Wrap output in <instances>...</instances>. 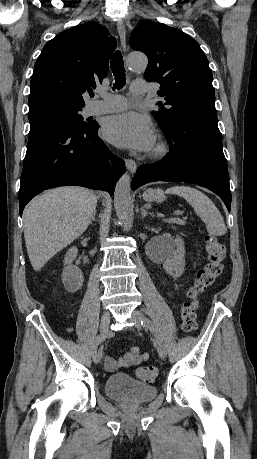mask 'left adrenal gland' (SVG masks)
<instances>
[{
    "label": "left adrenal gland",
    "instance_id": "1",
    "mask_svg": "<svg viewBox=\"0 0 257 459\" xmlns=\"http://www.w3.org/2000/svg\"><path fill=\"white\" fill-rule=\"evenodd\" d=\"M148 206L147 205H144L142 208H141V215L142 217H146L147 215H151L154 217V214L149 212L148 210Z\"/></svg>",
    "mask_w": 257,
    "mask_h": 459
}]
</instances>
